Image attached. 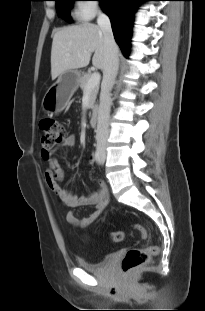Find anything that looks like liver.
<instances>
[{
	"mask_svg": "<svg viewBox=\"0 0 205 311\" xmlns=\"http://www.w3.org/2000/svg\"><path fill=\"white\" fill-rule=\"evenodd\" d=\"M92 58L94 67L105 66L104 36L98 25L81 23L63 27L53 36L51 49V77L56 79L65 71L86 67Z\"/></svg>",
	"mask_w": 205,
	"mask_h": 311,
	"instance_id": "1",
	"label": "liver"
}]
</instances>
